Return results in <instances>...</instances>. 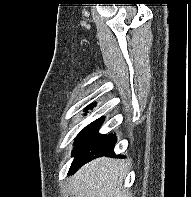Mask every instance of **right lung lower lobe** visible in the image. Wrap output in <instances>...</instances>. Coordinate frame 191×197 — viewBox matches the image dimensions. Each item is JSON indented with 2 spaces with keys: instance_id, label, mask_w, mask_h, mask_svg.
<instances>
[{
  "instance_id": "obj_1",
  "label": "right lung lower lobe",
  "mask_w": 191,
  "mask_h": 197,
  "mask_svg": "<svg viewBox=\"0 0 191 197\" xmlns=\"http://www.w3.org/2000/svg\"><path fill=\"white\" fill-rule=\"evenodd\" d=\"M103 121L104 117L95 120L78 134L73 151L75 158L69 174L74 173L79 167L99 156L115 155L116 135H101L98 133Z\"/></svg>"
}]
</instances>
